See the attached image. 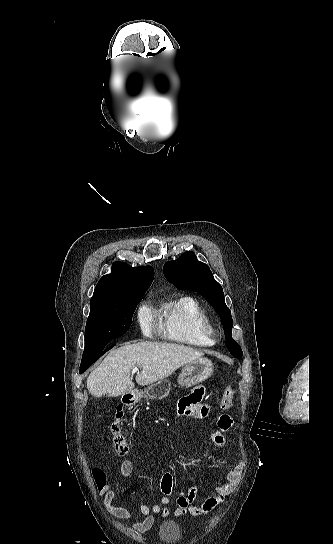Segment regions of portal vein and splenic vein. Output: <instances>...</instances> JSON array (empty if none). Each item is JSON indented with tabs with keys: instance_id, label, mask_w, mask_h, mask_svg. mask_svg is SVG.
I'll use <instances>...</instances> for the list:
<instances>
[{
	"instance_id": "18ae733b",
	"label": "portal vein and splenic vein",
	"mask_w": 333,
	"mask_h": 544,
	"mask_svg": "<svg viewBox=\"0 0 333 544\" xmlns=\"http://www.w3.org/2000/svg\"><path fill=\"white\" fill-rule=\"evenodd\" d=\"M138 371H139V369H138L137 367H135V368L133 369V372H138Z\"/></svg>"
}]
</instances>
